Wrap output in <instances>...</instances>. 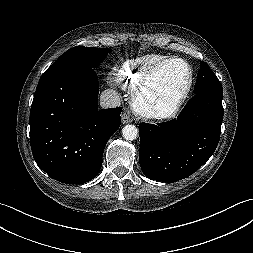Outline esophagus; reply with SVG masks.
Masks as SVG:
<instances>
[{
  "mask_svg": "<svg viewBox=\"0 0 253 253\" xmlns=\"http://www.w3.org/2000/svg\"><path fill=\"white\" fill-rule=\"evenodd\" d=\"M132 121L130 115L127 112H123L121 115V122L122 124H127Z\"/></svg>",
  "mask_w": 253,
  "mask_h": 253,
  "instance_id": "34e87169",
  "label": "esophagus"
}]
</instances>
